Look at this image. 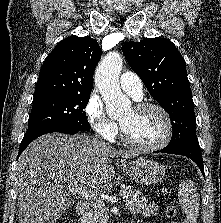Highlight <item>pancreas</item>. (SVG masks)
I'll list each match as a JSON object with an SVG mask.
<instances>
[{"mask_svg": "<svg viewBox=\"0 0 221 223\" xmlns=\"http://www.w3.org/2000/svg\"><path fill=\"white\" fill-rule=\"evenodd\" d=\"M124 191H126V207L132 214H142V216L158 215V206L149 202L140 191L132 186L125 187ZM106 220V208L104 203L101 202L99 205L92 204L91 210L80 219V223H106Z\"/></svg>", "mask_w": 221, "mask_h": 223, "instance_id": "pancreas-1", "label": "pancreas"}]
</instances>
